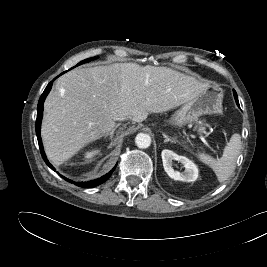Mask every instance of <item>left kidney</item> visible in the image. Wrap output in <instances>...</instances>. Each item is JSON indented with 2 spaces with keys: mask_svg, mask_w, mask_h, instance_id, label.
<instances>
[{
  "mask_svg": "<svg viewBox=\"0 0 267 267\" xmlns=\"http://www.w3.org/2000/svg\"><path fill=\"white\" fill-rule=\"evenodd\" d=\"M163 166L168 176L174 180L193 182L198 178L197 166L185 156H179L171 150L162 151ZM173 160H176L183 164L185 167L184 172H179L173 169Z\"/></svg>",
  "mask_w": 267,
  "mask_h": 267,
  "instance_id": "obj_1",
  "label": "left kidney"
}]
</instances>
